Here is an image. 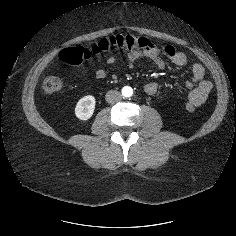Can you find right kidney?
<instances>
[{"label":"right kidney","mask_w":236,"mask_h":236,"mask_svg":"<svg viewBox=\"0 0 236 236\" xmlns=\"http://www.w3.org/2000/svg\"><path fill=\"white\" fill-rule=\"evenodd\" d=\"M95 104L96 100L92 95H87L81 98L75 107L76 117L83 121L90 119L94 113Z\"/></svg>","instance_id":"1"}]
</instances>
